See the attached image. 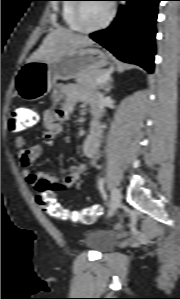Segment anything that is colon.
I'll list each match as a JSON object with an SVG mask.
<instances>
[{"label": "colon", "mask_w": 180, "mask_h": 299, "mask_svg": "<svg viewBox=\"0 0 180 299\" xmlns=\"http://www.w3.org/2000/svg\"><path fill=\"white\" fill-rule=\"evenodd\" d=\"M38 122L39 114L36 111L21 107L12 111L9 124L12 131L18 132L31 128ZM34 188L40 206L54 218L89 224L102 214L100 205H92L78 211L63 208L56 201L53 186L49 183L39 182Z\"/></svg>", "instance_id": "5ec220e1"}]
</instances>
